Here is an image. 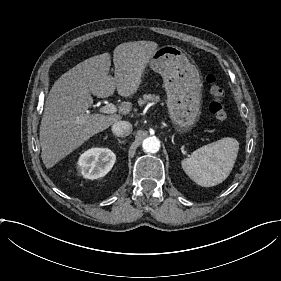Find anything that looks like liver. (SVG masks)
<instances>
[{"label":"liver","instance_id":"6515ba94","mask_svg":"<svg viewBox=\"0 0 281 281\" xmlns=\"http://www.w3.org/2000/svg\"><path fill=\"white\" fill-rule=\"evenodd\" d=\"M156 46L153 41H135L115 47L114 76L109 74L110 55L103 53L75 65L56 80L47 96L40 125L41 158L47 168L121 119L119 114H89L93 105L90 92L101 98L111 96L116 89L122 96L131 95ZM130 106L124 102L121 113H127Z\"/></svg>","mask_w":281,"mask_h":281}]
</instances>
